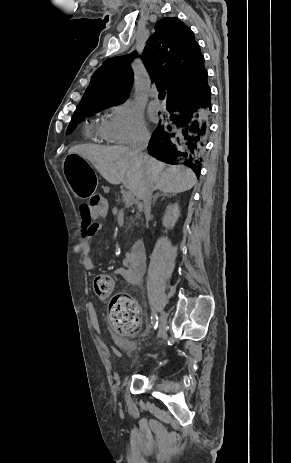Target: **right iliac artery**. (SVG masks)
<instances>
[{"label": "right iliac artery", "mask_w": 291, "mask_h": 463, "mask_svg": "<svg viewBox=\"0 0 291 463\" xmlns=\"http://www.w3.org/2000/svg\"><path fill=\"white\" fill-rule=\"evenodd\" d=\"M151 323L153 324L154 328L156 329L157 326H158V316H157V314H152Z\"/></svg>", "instance_id": "right-iliac-artery-1"}]
</instances>
